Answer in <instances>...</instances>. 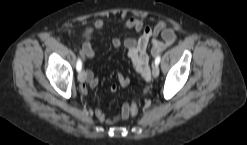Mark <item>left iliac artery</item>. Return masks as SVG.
<instances>
[{
    "instance_id": "1",
    "label": "left iliac artery",
    "mask_w": 247,
    "mask_h": 145,
    "mask_svg": "<svg viewBox=\"0 0 247 145\" xmlns=\"http://www.w3.org/2000/svg\"><path fill=\"white\" fill-rule=\"evenodd\" d=\"M160 60H161V57H160V55H158V56L156 57V59H155V64H156V65H159Z\"/></svg>"
}]
</instances>
